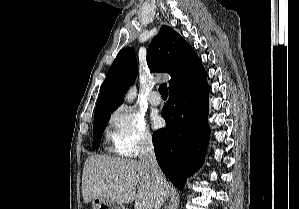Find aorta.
<instances>
[{
  "instance_id": "1",
  "label": "aorta",
  "mask_w": 299,
  "mask_h": 209,
  "mask_svg": "<svg viewBox=\"0 0 299 209\" xmlns=\"http://www.w3.org/2000/svg\"><path fill=\"white\" fill-rule=\"evenodd\" d=\"M125 99H126L128 102H130V101L133 100V94H132V91L129 92V93L126 95Z\"/></svg>"
}]
</instances>
